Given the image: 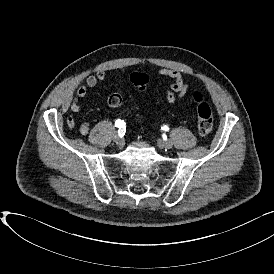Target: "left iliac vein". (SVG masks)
Here are the masks:
<instances>
[{
    "label": "left iliac vein",
    "mask_w": 274,
    "mask_h": 274,
    "mask_svg": "<svg viewBox=\"0 0 274 274\" xmlns=\"http://www.w3.org/2000/svg\"><path fill=\"white\" fill-rule=\"evenodd\" d=\"M160 145L165 149H170L173 146V142L170 139L165 140V141L161 140Z\"/></svg>",
    "instance_id": "1"
}]
</instances>
